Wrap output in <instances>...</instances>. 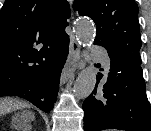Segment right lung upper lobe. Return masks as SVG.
<instances>
[{"label":"right lung upper lobe","instance_id":"cb5924a9","mask_svg":"<svg viewBox=\"0 0 151 131\" xmlns=\"http://www.w3.org/2000/svg\"><path fill=\"white\" fill-rule=\"evenodd\" d=\"M66 0H6L0 11V94L31 76L69 36Z\"/></svg>","mask_w":151,"mask_h":131}]
</instances>
